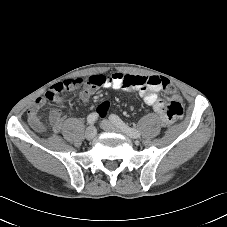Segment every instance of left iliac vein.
<instances>
[{
	"label": "left iliac vein",
	"instance_id": "1",
	"mask_svg": "<svg viewBox=\"0 0 227 227\" xmlns=\"http://www.w3.org/2000/svg\"><path fill=\"white\" fill-rule=\"evenodd\" d=\"M100 126L102 129H104L106 131L124 132V131L120 130L119 127H117L114 123H112L111 121H108V120H102L100 123Z\"/></svg>",
	"mask_w": 227,
	"mask_h": 227
}]
</instances>
